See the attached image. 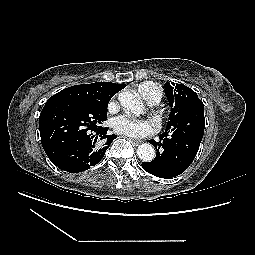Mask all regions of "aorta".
<instances>
[{
    "label": "aorta",
    "instance_id": "aorta-1",
    "mask_svg": "<svg viewBox=\"0 0 255 255\" xmlns=\"http://www.w3.org/2000/svg\"><path fill=\"white\" fill-rule=\"evenodd\" d=\"M120 104L128 111L136 112L141 109L142 103L130 92H121L119 94ZM138 157L144 162H151L156 155L154 147L149 143L139 145L137 149Z\"/></svg>",
    "mask_w": 255,
    "mask_h": 255
}]
</instances>
